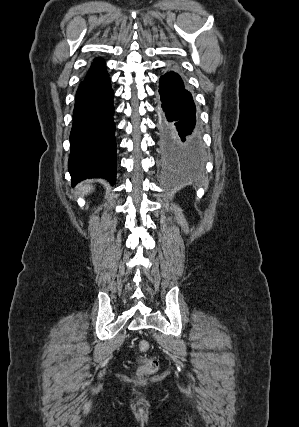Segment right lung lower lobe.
Segmentation results:
<instances>
[{"mask_svg":"<svg viewBox=\"0 0 299 427\" xmlns=\"http://www.w3.org/2000/svg\"><path fill=\"white\" fill-rule=\"evenodd\" d=\"M113 95L107 72L85 79L77 90L68 162L73 186L87 178L116 182Z\"/></svg>","mask_w":299,"mask_h":427,"instance_id":"obj_1","label":"right lung lower lobe"}]
</instances>
